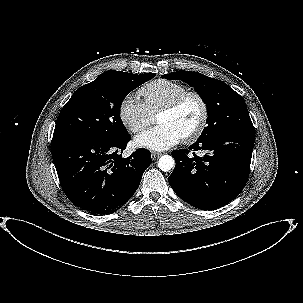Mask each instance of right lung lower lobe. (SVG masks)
I'll list each match as a JSON object with an SVG mask.
<instances>
[{
    "instance_id": "right-lung-lower-lobe-1",
    "label": "right lung lower lobe",
    "mask_w": 303,
    "mask_h": 303,
    "mask_svg": "<svg viewBox=\"0 0 303 303\" xmlns=\"http://www.w3.org/2000/svg\"><path fill=\"white\" fill-rule=\"evenodd\" d=\"M129 140V134L115 140H52L51 153L59 181L75 206L94 214H111L133 196L151 164V154L139 148L122 158Z\"/></svg>"
}]
</instances>
